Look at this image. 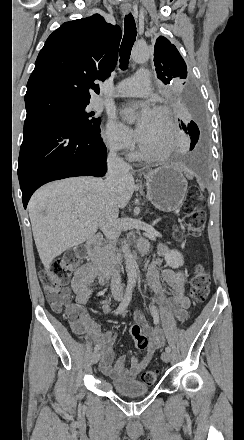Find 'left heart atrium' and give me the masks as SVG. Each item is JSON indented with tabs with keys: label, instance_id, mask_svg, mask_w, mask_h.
Listing matches in <instances>:
<instances>
[{
	"label": "left heart atrium",
	"instance_id": "1",
	"mask_svg": "<svg viewBox=\"0 0 244 440\" xmlns=\"http://www.w3.org/2000/svg\"><path fill=\"white\" fill-rule=\"evenodd\" d=\"M152 112H153V110L149 106L144 105L142 107L141 117H140V121H139V127L140 128H143L146 125V123L150 119V116H151Z\"/></svg>",
	"mask_w": 244,
	"mask_h": 440
}]
</instances>
